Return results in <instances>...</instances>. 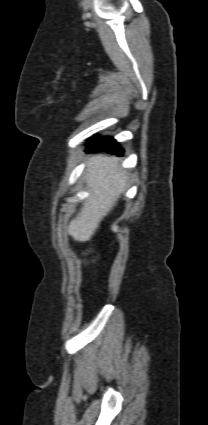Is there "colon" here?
Wrapping results in <instances>:
<instances>
[{"label": "colon", "instance_id": "5ec220e1", "mask_svg": "<svg viewBox=\"0 0 208 425\" xmlns=\"http://www.w3.org/2000/svg\"><path fill=\"white\" fill-rule=\"evenodd\" d=\"M88 254H91V251H87Z\"/></svg>", "mask_w": 208, "mask_h": 425}]
</instances>
